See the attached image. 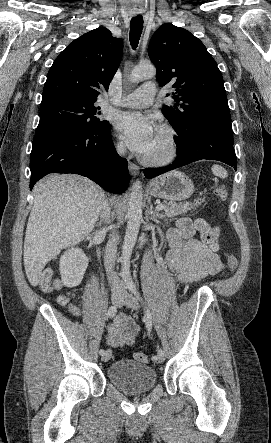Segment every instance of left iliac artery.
Masks as SVG:
<instances>
[{
    "label": "left iliac artery",
    "instance_id": "1",
    "mask_svg": "<svg viewBox=\"0 0 271 443\" xmlns=\"http://www.w3.org/2000/svg\"><path fill=\"white\" fill-rule=\"evenodd\" d=\"M129 290L136 296V298L144 305L145 303L143 302V299H142V297H141V295H140V293H139V291L137 290V288H136V286L135 285H133V284H131L130 286H129ZM144 312H145V315H144V322H145V324H146V328H147V331L150 333L151 332V330H152V317H151V313H150V311L148 310V308L146 307V306H144ZM153 361H157L158 360V357L156 356V355H153L152 356V358H151Z\"/></svg>",
    "mask_w": 271,
    "mask_h": 443
}]
</instances>
